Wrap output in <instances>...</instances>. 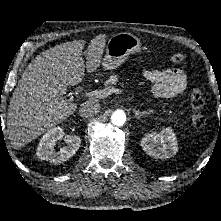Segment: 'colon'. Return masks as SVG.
Masks as SVG:
<instances>
[{
    "mask_svg": "<svg viewBox=\"0 0 221 221\" xmlns=\"http://www.w3.org/2000/svg\"><path fill=\"white\" fill-rule=\"evenodd\" d=\"M186 61V56L183 53H174L170 56V62L174 65H183ZM191 120L197 127L206 125V118L202 114L204 107V98L199 87H194L191 91Z\"/></svg>",
    "mask_w": 221,
    "mask_h": 221,
    "instance_id": "1",
    "label": "colon"
}]
</instances>
